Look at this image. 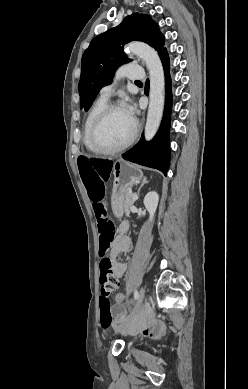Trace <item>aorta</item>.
Wrapping results in <instances>:
<instances>
[{"instance_id": "obj_1", "label": "aorta", "mask_w": 248, "mask_h": 389, "mask_svg": "<svg viewBox=\"0 0 248 389\" xmlns=\"http://www.w3.org/2000/svg\"><path fill=\"white\" fill-rule=\"evenodd\" d=\"M127 50L140 56L150 75L149 108L145 125V139L150 141L156 134L164 108V72L158 53L144 43L128 44Z\"/></svg>"}]
</instances>
